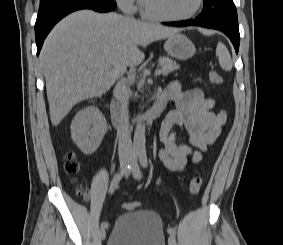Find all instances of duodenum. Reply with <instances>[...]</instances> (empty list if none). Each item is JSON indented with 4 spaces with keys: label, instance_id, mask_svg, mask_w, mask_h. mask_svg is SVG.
<instances>
[{
    "label": "duodenum",
    "instance_id": "obj_1",
    "mask_svg": "<svg viewBox=\"0 0 283 245\" xmlns=\"http://www.w3.org/2000/svg\"><path fill=\"white\" fill-rule=\"evenodd\" d=\"M167 101L168 100L164 95L159 94L154 106L150 110H148L143 116L136 119L133 123H152L163 112L166 107ZM110 108L112 122L114 126L117 128L122 127L124 125V121L120 113L119 104L115 98H112Z\"/></svg>",
    "mask_w": 283,
    "mask_h": 245
}]
</instances>
